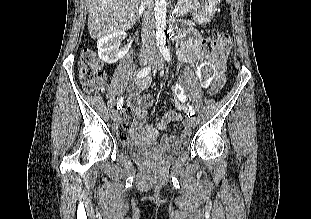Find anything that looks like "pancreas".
Masks as SVG:
<instances>
[{"instance_id":"1","label":"pancreas","mask_w":311,"mask_h":219,"mask_svg":"<svg viewBox=\"0 0 311 219\" xmlns=\"http://www.w3.org/2000/svg\"><path fill=\"white\" fill-rule=\"evenodd\" d=\"M177 7L179 10L187 12L192 9V0H179Z\"/></svg>"}]
</instances>
